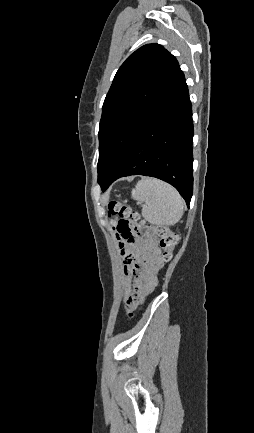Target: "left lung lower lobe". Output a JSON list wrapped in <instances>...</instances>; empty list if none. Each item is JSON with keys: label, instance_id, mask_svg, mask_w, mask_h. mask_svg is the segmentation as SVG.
Instances as JSON below:
<instances>
[{"label": "left lung lower lobe", "instance_id": "1", "mask_svg": "<svg viewBox=\"0 0 254 433\" xmlns=\"http://www.w3.org/2000/svg\"><path fill=\"white\" fill-rule=\"evenodd\" d=\"M193 134L192 107L181 72L101 189L105 191L120 177L152 176L174 186L189 206L193 192Z\"/></svg>", "mask_w": 254, "mask_h": 433}]
</instances>
